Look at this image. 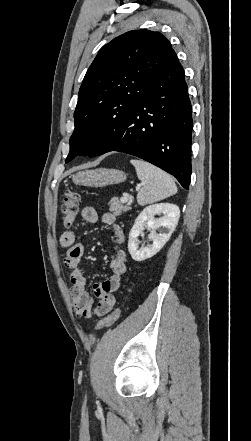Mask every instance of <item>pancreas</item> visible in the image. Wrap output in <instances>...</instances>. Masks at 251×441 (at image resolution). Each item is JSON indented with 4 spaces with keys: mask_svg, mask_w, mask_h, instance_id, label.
Segmentation results:
<instances>
[{
    "mask_svg": "<svg viewBox=\"0 0 251 441\" xmlns=\"http://www.w3.org/2000/svg\"><path fill=\"white\" fill-rule=\"evenodd\" d=\"M109 210L115 215L120 216L123 212L131 210L130 206H124L118 198L114 197L109 203Z\"/></svg>",
    "mask_w": 251,
    "mask_h": 441,
    "instance_id": "cf45deb5",
    "label": "pancreas"
}]
</instances>
